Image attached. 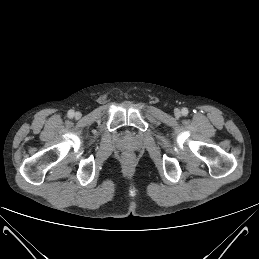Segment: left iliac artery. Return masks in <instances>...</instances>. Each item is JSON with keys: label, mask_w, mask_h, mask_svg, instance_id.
<instances>
[{"label": "left iliac artery", "mask_w": 259, "mask_h": 259, "mask_svg": "<svg viewBox=\"0 0 259 259\" xmlns=\"http://www.w3.org/2000/svg\"><path fill=\"white\" fill-rule=\"evenodd\" d=\"M182 114H183V116H187L188 115V109L182 108Z\"/></svg>", "instance_id": "left-iliac-artery-1"}]
</instances>
